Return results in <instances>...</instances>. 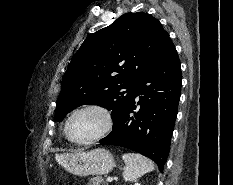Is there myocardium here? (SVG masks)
Segmentation results:
<instances>
[{
	"label": "myocardium",
	"mask_w": 233,
	"mask_h": 185,
	"mask_svg": "<svg viewBox=\"0 0 233 185\" xmlns=\"http://www.w3.org/2000/svg\"><path fill=\"white\" fill-rule=\"evenodd\" d=\"M87 110H94V111L100 112L105 119L104 127L102 128V130L98 134H96L95 136H93L89 139L76 140L70 134V131H69L70 122L76 114H78L82 111H87ZM113 125H114L113 115L107 107L100 105V104H88V105H84L82 107L77 108L69 115V117L67 118L66 123H65L64 131H65L66 137L72 143L78 144V145H88V144H92V143H95L97 141H100L103 138H105L106 136H108L109 133L113 129Z\"/></svg>",
	"instance_id": "myocardium-1"
}]
</instances>
